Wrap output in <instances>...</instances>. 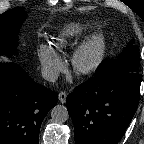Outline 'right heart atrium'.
Wrapping results in <instances>:
<instances>
[{
	"label": "right heart atrium",
	"mask_w": 144,
	"mask_h": 144,
	"mask_svg": "<svg viewBox=\"0 0 144 144\" xmlns=\"http://www.w3.org/2000/svg\"><path fill=\"white\" fill-rule=\"evenodd\" d=\"M44 73L53 77L63 67V61L55 48L49 45H40L37 51Z\"/></svg>",
	"instance_id": "right-heart-atrium-1"
}]
</instances>
